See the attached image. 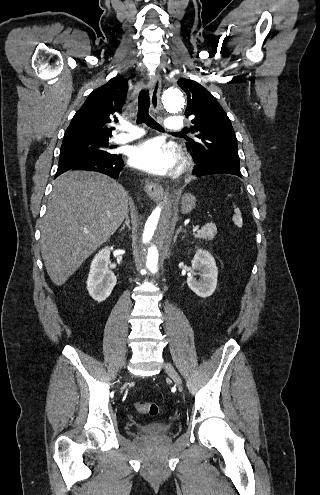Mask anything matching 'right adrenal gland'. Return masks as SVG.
I'll list each match as a JSON object with an SVG mask.
<instances>
[{
  "label": "right adrenal gland",
  "mask_w": 320,
  "mask_h": 495,
  "mask_svg": "<svg viewBox=\"0 0 320 495\" xmlns=\"http://www.w3.org/2000/svg\"><path fill=\"white\" fill-rule=\"evenodd\" d=\"M126 226L128 227V229H130V220H129V216L128 215L126 216V220L123 223V226L121 227V229L119 231L120 232L123 231Z\"/></svg>",
  "instance_id": "1"
}]
</instances>
